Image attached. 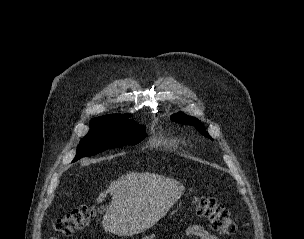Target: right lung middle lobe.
Wrapping results in <instances>:
<instances>
[{"label": "right lung middle lobe", "mask_w": 304, "mask_h": 239, "mask_svg": "<svg viewBox=\"0 0 304 239\" xmlns=\"http://www.w3.org/2000/svg\"><path fill=\"white\" fill-rule=\"evenodd\" d=\"M132 115L119 118H94L89 133L80 141L73 162L111 148L135 145L146 137L144 128L127 120Z\"/></svg>", "instance_id": "obj_1"}]
</instances>
